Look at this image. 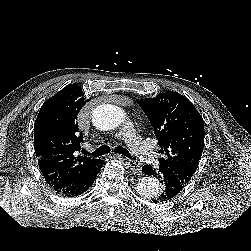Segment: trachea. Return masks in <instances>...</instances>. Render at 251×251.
Segmentation results:
<instances>
[{
    "instance_id": "trachea-1",
    "label": "trachea",
    "mask_w": 251,
    "mask_h": 251,
    "mask_svg": "<svg viewBox=\"0 0 251 251\" xmlns=\"http://www.w3.org/2000/svg\"><path fill=\"white\" fill-rule=\"evenodd\" d=\"M111 151L110 147L108 145H102L101 147H99L98 149H96L94 152L92 153H88L87 151L85 150H82L83 154H90L92 156H102V155H105L107 153H109ZM114 151L116 153H119V154H122L124 155L125 157L131 159V155L129 153L128 150H126L125 148L121 147V146H117Z\"/></svg>"
}]
</instances>
